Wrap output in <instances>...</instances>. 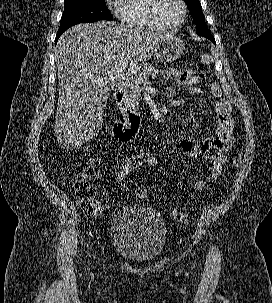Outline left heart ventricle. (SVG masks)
Segmentation results:
<instances>
[{"instance_id": "obj_1", "label": "left heart ventricle", "mask_w": 272, "mask_h": 303, "mask_svg": "<svg viewBox=\"0 0 272 303\" xmlns=\"http://www.w3.org/2000/svg\"><path fill=\"white\" fill-rule=\"evenodd\" d=\"M160 16L168 24L176 23L182 16V7L178 0H162Z\"/></svg>"}]
</instances>
